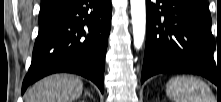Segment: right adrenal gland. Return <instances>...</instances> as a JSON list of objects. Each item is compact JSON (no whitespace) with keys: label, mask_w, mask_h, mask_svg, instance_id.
<instances>
[{"label":"right adrenal gland","mask_w":221,"mask_h":102,"mask_svg":"<svg viewBox=\"0 0 221 102\" xmlns=\"http://www.w3.org/2000/svg\"><path fill=\"white\" fill-rule=\"evenodd\" d=\"M85 95H88V96H90V97H92L93 98V96L90 94V92H88V91H85Z\"/></svg>","instance_id":"2a0ac1e0"}]
</instances>
